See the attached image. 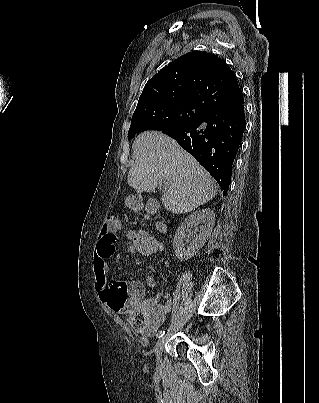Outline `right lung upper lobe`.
Listing matches in <instances>:
<instances>
[{"mask_svg":"<svg viewBox=\"0 0 319 403\" xmlns=\"http://www.w3.org/2000/svg\"><path fill=\"white\" fill-rule=\"evenodd\" d=\"M243 102L231 68L214 54L192 51L169 63L147 82L133 116L155 104H192L209 112Z\"/></svg>","mask_w":319,"mask_h":403,"instance_id":"1","label":"right lung upper lobe"}]
</instances>
